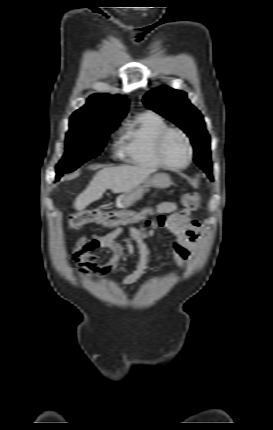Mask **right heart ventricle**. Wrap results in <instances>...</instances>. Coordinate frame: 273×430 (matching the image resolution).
Returning a JSON list of instances; mask_svg holds the SVG:
<instances>
[{
  "label": "right heart ventricle",
  "mask_w": 273,
  "mask_h": 430,
  "mask_svg": "<svg viewBox=\"0 0 273 430\" xmlns=\"http://www.w3.org/2000/svg\"><path fill=\"white\" fill-rule=\"evenodd\" d=\"M169 125L155 112H143L130 121L122 135V155L127 162L149 169H159L155 144L157 136Z\"/></svg>",
  "instance_id": "e07e8e85"
}]
</instances>
